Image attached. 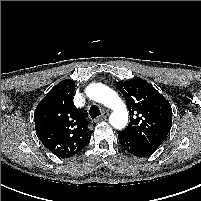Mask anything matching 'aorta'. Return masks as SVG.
Instances as JSON below:
<instances>
[{
    "label": "aorta",
    "instance_id": "obj_1",
    "mask_svg": "<svg viewBox=\"0 0 201 201\" xmlns=\"http://www.w3.org/2000/svg\"><path fill=\"white\" fill-rule=\"evenodd\" d=\"M86 95L113 110L109 117V122L114 128L120 130L127 125V108L114 90L103 84L93 83L86 88Z\"/></svg>",
    "mask_w": 201,
    "mask_h": 201
}]
</instances>
